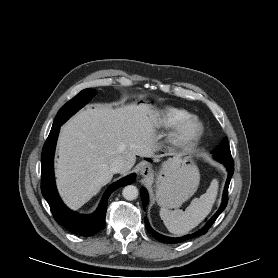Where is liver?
Instances as JSON below:
<instances>
[{
	"mask_svg": "<svg viewBox=\"0 0 278 278\" xmlns=\"http://www.w3.org/2000/svg\"><path fill=\"white\" fill-rule=\"evenodd\" d=\"M158 114L149 104L113 109L96 105L72 117L61 129L56 163L57 186L64 202L79 209L113 177L111 163L122 157L127 173L136 156L157 160L154 128Z\"/></svg>",
	"mask_w": 278,
	"mask_h": 278,
	"instance_id": "6515ba94",
	"label": "liver"
}]
</instances>
